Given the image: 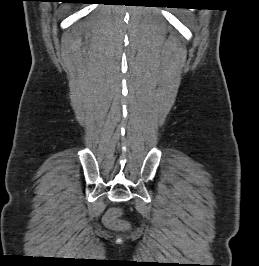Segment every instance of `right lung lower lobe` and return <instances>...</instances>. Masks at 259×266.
<instances>
[{"instance_id": "1", "label": "right lung lower lobe", "mask_w": 259, "mask_h": 266, "mask_svg": "<svg viewBox=\"0 0 259 266\" xmlns=\"http://www.w3.org/2000/svg\"><path fill=\"white\" fill-rule=\"evenodd\" d=\"M89 0H72V3H88Z\"/></svg>"}]
</instances>
